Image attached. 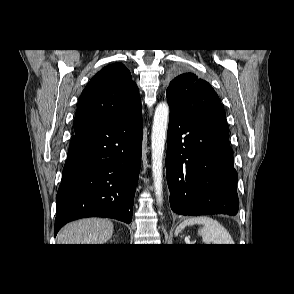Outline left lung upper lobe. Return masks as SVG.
<instances>
[{
  "instance_id": "1",
  "label": "left lung upper lobe",
  "mask_w": 294,
  "mask_h": 294,
  "mask_svg": "<svg viewBox=\"0 0 294 294\" xmlns=\"http://www.w3.org/2000/svg\"><path fill=\"white\" fill-rule=\"evenodd\" d=\"M166 96L170 109L193 120H225V111L211 85L194 73L176 76Z\"/></svg>"
}]
</instances>
